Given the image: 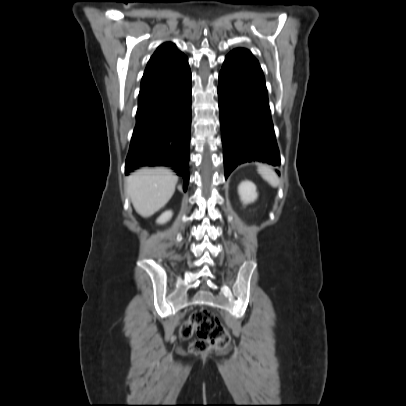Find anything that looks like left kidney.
<instances>
[{"mask_svg":"<svg viewBox=\"0 0 406 406\" xmlns=\"http://www.w3.org/2000/svg\"><path fill=\"white\" fill-rule=\"evenodd\" d=\"M241 201L244 204L253 202L257 198L256 186L250 181H244L238 188Z\"/></svg>","mask_w":406,"mask_h":406,"instance_id":"obj_1","label":"left kidney"}]
</instances>
